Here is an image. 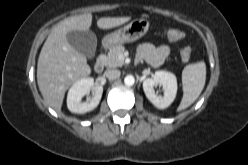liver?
Masks as SVG:
<instances>
[{"label":"liver","instance_id":"6515ba94","mask_svg":"<svg viewBox=\"0 0 248 165\" xmlns=\"http://www.w3.org/2000/svg\"><path fill=\"white\" fill-rule=\"evenodd\" d=\"M129 20L130 17L100 18L97 26L110 29ZM91 24V13L66 18L52 29L41 49L37 63V83L45 104L56 111L61 110L67 89L91 73L86 57L68 43L67 33L89 30Z\"/></svg>","mask_w":248,"mask_h":165}]
</instances>
